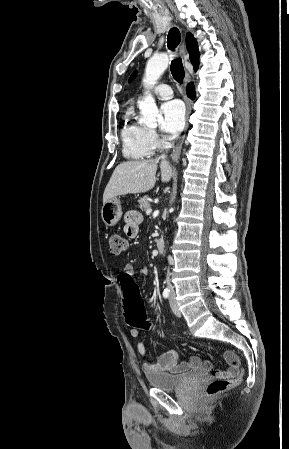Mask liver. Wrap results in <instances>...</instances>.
I'll list each match as a JSON object with an SVG mask.
<instances>
[{"label":"liver","mask_w":289,"mask_h":449,"mask_svg":"<svg viewBox=\"0 0 289 449\" xmlns=\"http://www.w3.org/2000/svg\"><path fill=\"white\" fill-rule=\"evenodd\" d=\"M158 163L159 158L126 161L119 164L104 190L103 204L117 196L151 190L156 182ZM160 170L162 182H169L172 177V168L165 159L160 162Z\"/></svg>","instance_id":"6515ba94"}]
</instances>
